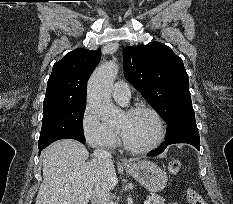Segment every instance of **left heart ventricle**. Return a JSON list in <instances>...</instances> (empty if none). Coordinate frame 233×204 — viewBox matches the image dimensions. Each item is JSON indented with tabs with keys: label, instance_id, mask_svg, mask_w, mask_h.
<instances>
[{
	"label": "left heart ventricle",
	"instance_id": "b2bd125f",
	"mask_svg": "<svg viewBox=\"0 0 233 204\" xmlns=\"http://www.w3.org/2000/svg\"><path fill=\"white\" fill-rule=\"evenodd\" d=\"M128 142L134 146H146L151 144L158 135V126L154 117L145 111H139L128 115L121 114L115 124Z\"/></svg>",
	"mask_w": 233,
	"mask_h": 204
}]
</instances>
